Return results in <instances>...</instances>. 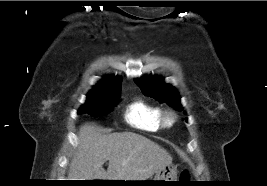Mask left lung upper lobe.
<instances>
[{
	"mask_svg": "<svg viewBox=\"0 0 267 186\" xmlns=\"http://www.w3.org/2000/svg\"><path fill=\"white\" fill-rule=\"evenodd\" d=\"M135 83L145 96H150L157 101L165 102L178 111L182 110L180 96L177 90L173 86L165 84L162 78L151 76L138 78L135 79Z\"/></svg>",
	"mask_w": 267,
	"mask_h": 186,
	"instance_id": "obj_1",
	"label": "left lung upper lobe"
}]
</instances>
